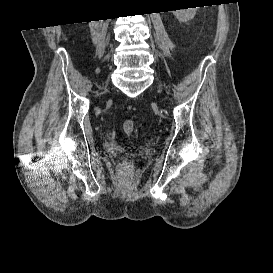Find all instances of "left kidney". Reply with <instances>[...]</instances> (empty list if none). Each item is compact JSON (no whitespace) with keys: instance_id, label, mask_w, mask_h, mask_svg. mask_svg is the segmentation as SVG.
<instances>
[{"instance_id":"1","label":"left kidney","mask_w":273,"mask_h":273,"mask_svg":"<svg viewBox=\"0 0 273 273\" xmlns=\"http://www.w3.org/2000/svg\"><path fill=\"white\" fill-rule=\"evenodd\" d=\"M172 13L180 22L186 23L194 18L196 14V9L188 8V9L173 10Z\"/></svg>"}]
</instances>
